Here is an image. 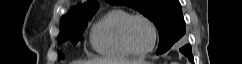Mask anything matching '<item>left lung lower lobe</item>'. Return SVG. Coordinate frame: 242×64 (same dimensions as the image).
<instances>
[{
  "mask_svg": "<svg viewBox=\"0 0 242 64\" xmlns=\"http://www.w3.org/2000/svg\"><path fill=\"white\" fill-rule=\"evenodd\" d=\"M180 52L183 53L184 55H186L191 62L194 61L193 56H192V51H191V45L190 44H187L184 47H182L180 49Z\"/></svg>",
  "mask_w": 242,
  "mask_h": 64,
  "instance_id": "obj_1",
  "label": "left lung lower lobe"
}]
</instances>
